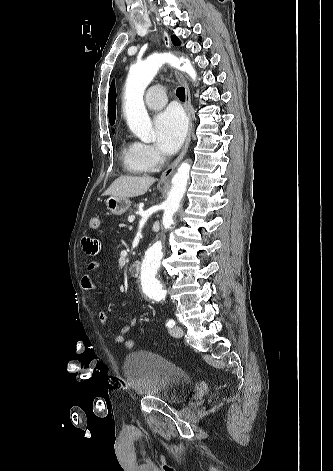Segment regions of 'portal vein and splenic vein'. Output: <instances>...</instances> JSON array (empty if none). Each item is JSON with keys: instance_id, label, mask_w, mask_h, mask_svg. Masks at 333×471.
<instances>
[{"instance_id": "18ae733b", "label": "portal vein and splenic vein", "mask_w": 333, "mask_h": 471, "mask_svg": "<svg viewBox=\"0 0 333 471\" xmlns=\"http://www.w3.org/2000/svg\"><path fill=\"white\" fill-rule=\"evenodd\" d=\"M134 220H135V216H134V215H131V216L128 217V221H129L130 223H132Z\"/></svg>"}]
</instances>
